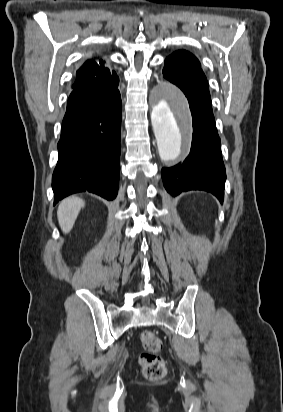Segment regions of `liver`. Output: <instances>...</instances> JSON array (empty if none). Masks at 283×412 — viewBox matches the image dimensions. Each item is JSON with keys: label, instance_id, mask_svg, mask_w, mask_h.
I'll return each instance as SVG.
<instances>
[{"label": "liver", "instance_id": "6515ba94", "mask_svg": "<svg viewBox=\"0 0 283 412\" xmlns=\"http://www.w3.org/2000/svg\"><path fill=\"white\" fill-rule=\"evenodd\" d=\"M85 205V202L78 197L64 199L57 210L59 226L63 233L67 234L73 228L78 214Z\"/></svg>", "mask_w": 283, "mask_h": 412}]
</instances>
